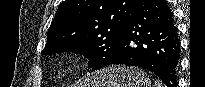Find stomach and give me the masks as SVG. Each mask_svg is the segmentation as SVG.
Masks as SVG:
<instances>
[{
	"instance_id": "stomach-1",
	"label": "stomach",
	"mask_w": 205,
	"mask_h": 87,
	"mask_svg": "<svg viewBox=\"0 0 205 87\" xmlns=\"http://www.w3.org/2000/svg\"><path fill=\"white\" fill-rule=\"evenodd\" d=\"M80 87H151V81L140 68L111 66L87 76Z\"/></svg>"
}]
</instances>
